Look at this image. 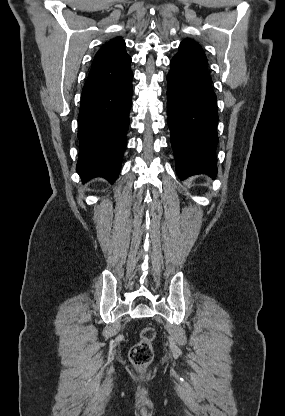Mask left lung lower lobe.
Listing matches in <instances>:
<instances>
[{"mask_svg":"<svg viewBox=\"0 0 285 416\" xmlns=\"http://www.w3.org/2000/svg\"><path fill=\"white\" fill-rule=\"evenodd\" d=\"M167 75L168 126L179 178L216 177L217 98L208 70L173 57Z\"/></svg>","mask_w":285,"mask_h":416,"instance_id":"obj_1","label":"left lung lower lobe"}]
</instances>
